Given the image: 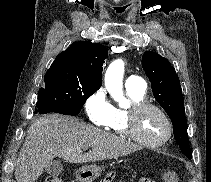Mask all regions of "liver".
Returning a JSON list of instances; mask_svg holds the SVG:
<instances>
[{"label": "liver", "mask_w": 211, "mask_h": 182, "mask_svg": "<svg viewBox=\"0 0 211 182\" xmlns=\"http://www.w3.org/2000/svg\"><path fill=\"white\" fill-rule=\"evenodd\" d=\"M92 150L82 154V149ZM139 147L69 116L49 114L35 120L27 131L15 169L16 182H35L55 157L87 163L128 155Z\"/></svg>", "instance_id": "liver-1"}]
</instances>
